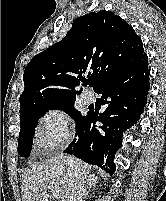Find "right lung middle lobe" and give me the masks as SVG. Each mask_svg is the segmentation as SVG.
I'll use <instances>...</instances> for the list:
<instances>
[{
	"label": "right lung middle lobe",
	"mask_w": 166,
	"mask_h": 201,
	"mask_svg": "<svg viewBox=\"0 0 166 201\" xmlns=\"http://www.w3.org/2000/svg\"><path fill=\"white\" fill-rule=\"evenodd\" d=\"M53 109L62 110L70 114L76 122V129L86 119V116H82L81 113L74 108V101L49 108L33 110L20 115L21 129L19 133L18 153L21 157H28L31 152L37 121L47 111Z\"/></svg>",
	"instance_id": "obj_1"
}]
</instances>
